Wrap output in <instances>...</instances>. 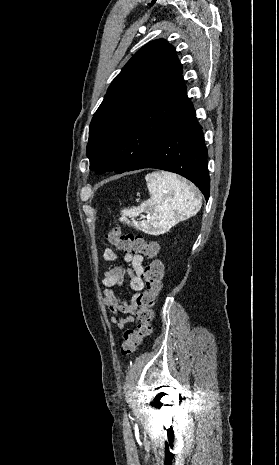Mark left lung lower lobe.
Wrapping results in <instances>:
<instances>
[{
    "label": "left lung lower lobe",
    "mask_w": 279,
    "mask_h": 465,
    "mask_svg": "<svg viewBox=\"0 0 279 465\" xmlns=\"http://www.w3.org/2000/svg\"><path fill=\"white\" fill-rule=\"evenodd\" d=\"M207 154L202 127L189 102L180 119L130 170L157 168L180 174L192 181L208 200Z\"/></svg>",
    "instance_id": "left-lung-lower-lobe-1"
}]
</instances>
